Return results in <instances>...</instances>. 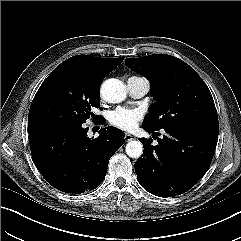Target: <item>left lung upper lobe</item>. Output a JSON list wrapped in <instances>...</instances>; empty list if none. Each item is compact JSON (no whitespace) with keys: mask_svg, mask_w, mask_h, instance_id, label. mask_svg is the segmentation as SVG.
Here are the masks:
<instances>
[{"mask_svg":"<svg viewBox=\"0 0 241 241\" xmlns=\"http://www.w3.org/2000/svg\"><path fill=\"white\" fill-rule=\"evenodd\" d=\"M125 64L147 77L156 101L143 127L160 130L169 126H203L219 129L212 95L197 72L170 55L128 58Z\"/></svg>","mask_w":241,"mask_h":241,"instance_id":"5c2ea615","label":"left lung upper lobe"}]
</instances>
